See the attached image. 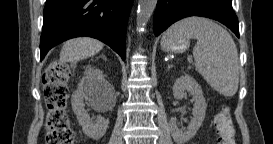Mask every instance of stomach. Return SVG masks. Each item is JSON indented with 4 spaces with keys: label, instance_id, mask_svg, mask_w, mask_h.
<instances>
[{
    "label": "stomach",
    "instance_id": "obj_1",
    "mask_svg": "<svg viewBox=\"0 0 273 144\" xmlns=\"http://www.w3.org/2000/svg\"><path fill=\"white\" fill-rule=\"evenodd\" d=\"M161 46L167 52L182 53L189 47V40L186 38H176L168 43L161 42Z\"/></svg>",
    "mask_w": 273,
    "mask_h": 144
}]
</instances>
